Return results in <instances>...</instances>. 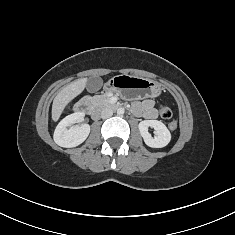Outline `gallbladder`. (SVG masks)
<instances>
[{
  "mask_svg": "<svg viewBox=\"0 0 235 235\" xmlns=\"http://www.w3.org/2000/svg\"><path fill=\"white\" fill-rule=\"evenodd\" d=\"M103 84V81L100 77H91L88 79L86 88L89 92H96L98 91Z\"/></svg>",
  "mask_w": 235,
  "mask_h": 235,
  "instance_id": "1",
  "label": "gallbladder"
}]
</instances>
